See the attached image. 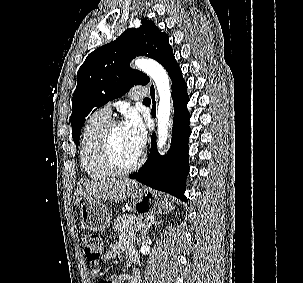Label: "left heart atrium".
Here are the masks:
<instances>
[{
	"instance_id": "39dd6f15",
	"label": "left heart atrium",
	"mask_w": 303,
	"mask_h": 283,
	"mask_svg": "<svg viewBox=\"0 0 303 283\" xmlns=\"http://www.w3.org/2000/svg\"><path fill=\"white\" fill-rule=\"evenodd\" d=\"M122 127L132 145L141 151L147 138L146 128L141 117L134 111L129 112Z\"/></svg>"
}]
</instances>
